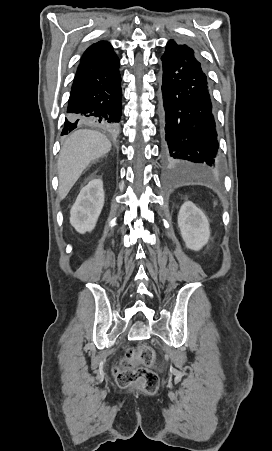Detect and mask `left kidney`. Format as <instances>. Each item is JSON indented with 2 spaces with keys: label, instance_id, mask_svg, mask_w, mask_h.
<instances>
[{
  "label": "left kidney",
  "instance_id": "left-kidney-1",
  "mask_svg": "<svg viewBox=\"0 0 272 451\" xmlns=\"http://www.w3.org/2000/svg\"><path fill=\"white\" fill-rule=\"evenodd\" d=\"M178 226L189 249H201L210 237L208 220L193 202H184L178 214Z\"/></svg>",
  "mask_w": 272,
  "mask_h": 451
}]
</instances>
